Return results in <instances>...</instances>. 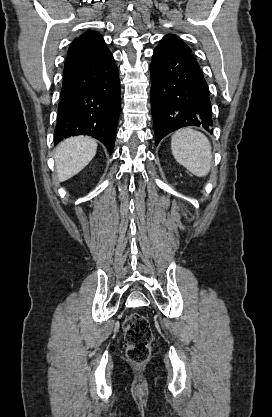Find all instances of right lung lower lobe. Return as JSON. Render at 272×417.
<instances>
[{"label": "right lung lower lobe", "mask_w": 272, "mask_h": 417, "mask_svg": "<svg viewBox=\"0 0 272 417\" xmlns=\"http://www.w3.org/2000/svg\"><path fill=\"white\" fill-rule=\"evenodd\" d=\"M121 96L118 69L105 42L67 58L55 127V144L74 135L100 140L112 154Z\"/></svg>", "instance_id": "obj_1"}]
</instances>
